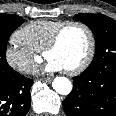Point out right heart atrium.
<instances>
[{"label": "right heart atrium", "instance_id": "1", "mask_svg": "<svg viewBox=\"0 0 116 116\" xmlns=\"http://www.w3.org/2000/svg\"><path fill=\"white\" fill-rule=\"evenodd\" d=\"M6 64L14 71L27 75L35 71L37 61L33 51L14 34L4 50Z\"/></svg>", "mask_w": 116, "mask_h": 116}]
</instances>
